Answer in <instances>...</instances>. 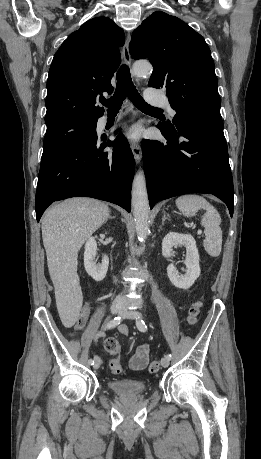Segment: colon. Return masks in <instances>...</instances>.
<instances>
[{"mask_svg": "<svg viewBox=\"0 0 261 459\" xmlns=\"http://www.w3.org/2000/svg\"><path fill=\"white\" fill-rule=\"evenodd\" d=\"M201 307H202L201 301H195L190 305L188 309V314L186 317L187 323L189 325H195L197 323L198 315H199ZM85 322H86V318L80 315L76 323V327L82 328L85 325ZM104 348L109 354L114 355V356H118L121 351V345L119 341L113 337H110L105 340ZM107 367H108V370L113 374H118L122 370L121 363L118 357L112 359L108 363ZM159 369H160V364L158 361H152L150 363L149 371L151 373H156L159 371Z\"/></svg>", "mask_w": 261, "mask_h": 459, "instance_id": "5ec220e1", "label": "colon"}]
</instances>
